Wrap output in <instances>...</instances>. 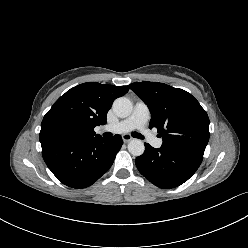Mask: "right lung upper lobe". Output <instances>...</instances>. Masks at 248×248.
Listing matches in <instances>:
<instances>
[{
	"label": "right lung upper lobe",
	"mask_w": 248,
	"mask_h": 248,
	"mask_svg": "<svg viewBox=\"0 0 248 248\" xmlns=\"http://www.w3.org/2000/svg\"><path fill=\"white\" fill-rule=\"evenodd\" d=\"M129 86H114L96 82L83 83L62 95L44 116L39 140L93 139L94 128L106 124V115L113 101L125 95ZM53 131H61L60 138H51Z\"/></svg>",
	"instance_id": "cb5924a9"
}]
</instances>
